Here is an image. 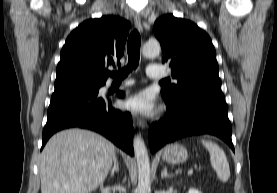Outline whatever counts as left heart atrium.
I'll return each mask as SVG.
<instances>
[{"label":"left heart atrium","mask_w":277,"mask_h":193,"mask_svg":"<svg viewBox=\"0 0 277 193\" xmlns=\"http://www.w3.org/2000/svg\"><path fill=\"white\" fill-rule=\"evenodd\" d=\"M125 107L133 113L149 115L153 112L154 104L150 93L142 91L129 98Z\"/></svg>","instance_id":"obj_1"}]
</instances>
